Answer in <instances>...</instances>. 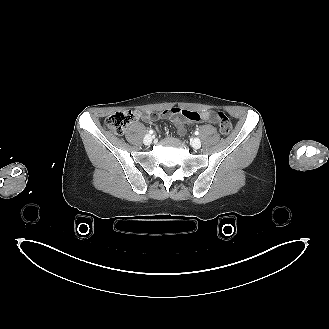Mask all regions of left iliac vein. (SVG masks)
Segmentation results:
<instances>
[{
    "mask_svg": "<svg viewBox=\"0 0 329 329\" xmlns=\"http://www.w3.org/2000/svg\"><path fill=\"white\" fill-rule=\"evenodd\" d=\"M191 145H192L193 148L199 149L201 147L200 139L199 138H194Z\"/></svg>",
    "mask_w": 329,
    "mask_h": 329,
    "instance_id": "left-iliac-vein-1",
    "label": "left iliac vein"
}]
</instances>
